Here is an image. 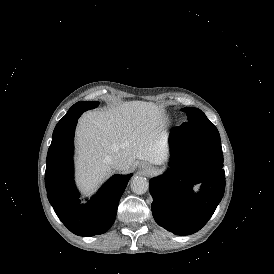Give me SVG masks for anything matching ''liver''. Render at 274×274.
Listing matches in <instances>:
<instances>
[{
    "mask_svg": "<svg viewBox=\"0 0 274 274\" xmlns=\"http://www.w3.org/2000/svg\"><path fill=\"white\" fill-rule=\"evenodd\" d=\"M164 109L152 102L126 101L84 113L76 128V182L91 195L113 171L105 157H117L124 173L136 159L161 165L167 160ZM159 141L161 143L159 144ZM160 145V146H159Z\"/></svg>",
    "mask_w": 274,
    "mask_h": 274,
    "instance_id": "obj_1",
    "label": "liver"
}]
</instances>
